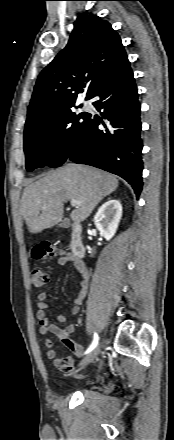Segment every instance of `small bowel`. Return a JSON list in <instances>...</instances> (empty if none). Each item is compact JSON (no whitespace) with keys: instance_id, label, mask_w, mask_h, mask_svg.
I'll return each instance as SVG.
<instances>
[{"instance_id":"small-bowel-1","label":"small bowel","mask_w":174,"mask_h":440,"mask_svg":"<svg viewBox=\"0 0 174 440\" xmlns=\"http://www.w3.org/2000/svg\"><path fill=\"white\" fill-rule=\"evenodd\" d=\"M58 264L60 266H66L68 264L73 265L76 269H78L82 274V279L80 282L79 292L74 300V306L71 308L72 314H78L80 311V305L84 302L88 285H89V277L88 273L85 270L83 263L76 259L72 254H66L59 258ZM47 294L45 292H41L37 296V311L36 317L39 321V333L45 337L44 345L46 347L47 357L54 360V365L62 371L67 373L73 372V357H65V358H57L56 350L54 342L48 338V335L53 334L57 338H59L62 343L69 348L75 357H78L83 352V347L78 344L74 339L73 335L76 332V326L73 324L67 325L62 328L56 324L50 322L49 317L47 316ZM56 321L58 323H65L67 321V315L60 314L56 317Z\"/></svg>"}]
</instances>
